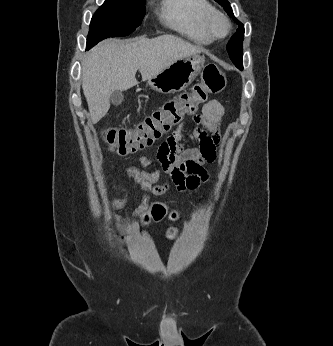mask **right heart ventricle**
<instances>
[{"label": "right heart ventricle", "instance_id": "1", "mask_svg": "<svg viewBox=\"0 0 333 346\" xmlns=\"http://www.w3.org/2000/svg\"><path fill=\"white\" fill-rule=\"evenodd\" d=\"M215 10L209 0H162L161 21L192 41L207 44L213 40L208 27V16Z\"/></svg>", "mask_w": 333, "mask_h": 346}]
</instances>
